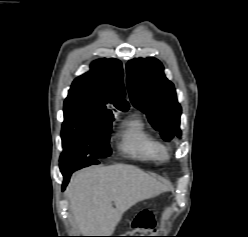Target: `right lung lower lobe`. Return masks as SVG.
Wrapping results in <instances>:
<instances>
[{"mask_svg":"<svg viewBox=\"0 0 248 237\" xmlns=\"http://www.w3.org/2000/svg\"><path fill=\"white\" fill-rule=\"evenodd\" d=\"M99 161L96 159H92V158H85L83 160H70V161H64V162H60V169L61 172L64 176V181H63V186L62 189L64 190L71 174L76 171L79 170L83 167H87L89 165H93V164H98Z\"/></svg>","mask_w":248,"mask_h":237,"instance_id":"right-lung-lower-lobe-1","label":"right lung lower lobe"}]
</instances>
